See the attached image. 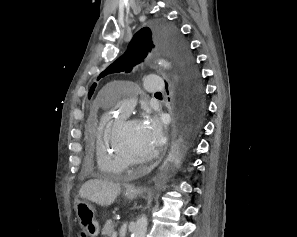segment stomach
<instances>
[{"label": "stomach", "instance_id": "obj_1", "mask_svg": "<svg viewBox=\"0 0 297 237\" xmlns=\"http://www.w3.org/2000/svg\"><path fill=\"white\" fill-rule=\"evenodd\" d=\"M142 193L139 189L127 190L126 198L133 200ZM79 225L89 237H96L99 234V224L96 220L95 209L87 201H79L75 206Z\"/></svg>", "mask_w": 297, "mask_h": 237}]
</instances>
